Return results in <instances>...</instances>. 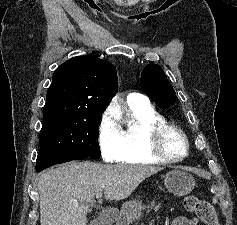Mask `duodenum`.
<instances>
[{
  "mask_svg": "<svg viewBox=\"0 0 237 225\" xmlns=\"http://www.w3.org/2000/svg\"><path fill=\"white\" fill-rule=\"evenodd\" d=\"M117 225H122V221L118 219Z\"/></svg>",
  "mask_w": 237,
  "mask_h": 225,
  "instance_id": "obj_1",
  "label": "duodenum"
}]
</instances>
